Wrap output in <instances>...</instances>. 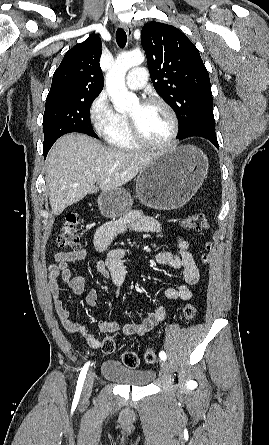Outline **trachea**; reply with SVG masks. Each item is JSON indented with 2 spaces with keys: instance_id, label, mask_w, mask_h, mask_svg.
<instances>
[{
  "instance_id": "obj_1",
  "label": "trachea",
  "mask_w": 269,
  "mask_h": 445,
  "mask_svg": "<svg viewBox=\"0 0 269 445\" xmlns=\"http://www.w3.org/2000/svg\"><path fill=\"white\" fill-rule=\"evenodd\" d=\"M116 42L119 47L123 48L127 42V35L124 29L119 28L116 32Z\"/></svg>"
}]
</instances>
